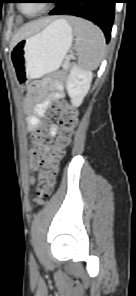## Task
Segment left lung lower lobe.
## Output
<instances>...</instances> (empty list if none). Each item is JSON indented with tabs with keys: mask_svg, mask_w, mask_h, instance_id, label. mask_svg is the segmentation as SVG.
Returning <instances> with one entry per match:
<instances>
[{
	"mask_svg": "<svg viewBox=\"0 0 136 296\" xmlns=\"http://www.w3.org/2000/svg\"><path fill=\"white\" fill-rule=\"evenodd\" d=\"M117 2L118 0H56V7L49 14H69L88 19L102 29L108 43Z\"/></svg>",
	"mask_w": 136,
	"mask_h": 296,
	"instance_id": "0a47b994",
	"label": "left lung lower lobe"
}]
</instances>
